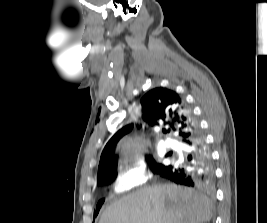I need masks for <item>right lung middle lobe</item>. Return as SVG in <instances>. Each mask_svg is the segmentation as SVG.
Returning <instances> with one entry per match:
<instances>
[{"instance_id": "1", "label": "right lung middle lobe", "mask_w": 267, "mask_h": 223, "mask_svg": "<svg viewBox=\"0 0 267 223\" xmlns=\"http://www.w3.org/2000/svg\"><path fill=\"white\" fill-rule=\"evenodd\" d=\"M148 162L151 164L152 169L155 172H160L163 168H165L162 164H157L153 159L149 158ZM117 177V167L108 169L102 177L98 178V184H108L111 183L112 180H114ZM104 203V200H100L96 207V212H94V217L97 216L98 211L102 204Z\"/></svg>"}]
</instances>
